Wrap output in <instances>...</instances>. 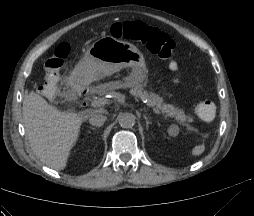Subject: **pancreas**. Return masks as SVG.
I'll list each match as a JSON object with an SVG mask.
<instances>
[{
	"mask_svg": "<svg viewBox=\"0 0 254 216\" xmlns=\"http://www.w3.org/2000/svg\"><path fill=\"white\" fill-rule=\"evenodd\" d=\"M128 88L130 93L142 100H147V105L149 107H155L160 110L166 117L175 118L180 124H182L188 131H192L193 127L191 122L193 121L191 117L187 116L182 109H179L171 104L164 102L163 98L153 92H147L144 90L141 84L133 83L130 81H125L124 83L120 81L109 82L101 85L100 92L111 91L118 88Z\"/></svg>",
	"mask_w": 254,
	"mask_h": 216,
	"instance_id": "pancreas-1",
	"label": "pancreas"
}]
</instances>
